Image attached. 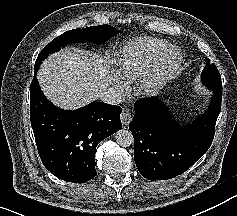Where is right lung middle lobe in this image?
<instances>
[{
    "mask_svg": "<svg viewBox=\"0 0 237 216\" xmlns=\"http://www.w3.org/2000/svg\"><path fill=\"white\" fill-rule=\"evenodd\" d=\"M117 33V29L107 24L67 31L53 39L45 48H43L36 59L34 69L38 70L45 58H47L50 54L59 51L67 44L77 42L102 44Z\"/></svg>",
    "mask_w": 237,
    "mask_h": 216,
    "instance_id": "1",
    "label": "right lung middle lobe"
}]
</instances>
